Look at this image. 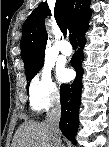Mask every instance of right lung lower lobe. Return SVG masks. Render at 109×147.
<instances>
[{"instance_id":"1","label":"right lung lower lobe","mask_w":109,"mask_h":147,"mask_svg":"<svg viewBox=\"0 0 109 147\" xmlns=\"http://www.w3.org/2000/svg\"><path fill=\"white\" fill-rule=\"evenodd\" d=\"M88 29V24L77 34L79 50L73 55L71 65L75 68L77 76L71 84H62L60 89L61 98V120L59 123L60 130L63 135L70 141L76 144L75 135L78 129V112L81 101V88L83 68L81 61L83 60L82 48L85 45L84 34Z\"/></svg>"}]
</instances>
